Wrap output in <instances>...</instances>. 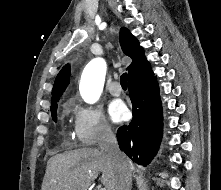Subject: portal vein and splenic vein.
Wrapping results in <instances>:
<instances>
[{"instance_id":"portal-vein-and-splenic-vein-1","label":"portal vein and splenic vein","mask_w":221,"mask_h":190,"mask_svg":"<svg viewBox=\"0 0 221 190\" xmlns=\"http://www.w3.org/2000/svg\"><path fill=\"white\" fill-rule=\"evenodd\" d=\"M89 175H92L91 171H89ZM100 190H106V188H101Z\"/></svg>"}]
</instances>
